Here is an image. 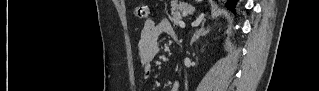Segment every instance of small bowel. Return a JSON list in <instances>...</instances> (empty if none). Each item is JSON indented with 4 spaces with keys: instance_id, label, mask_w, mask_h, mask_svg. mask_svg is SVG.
<instances>
[{
    "instance_id": "small-bowel-1",
    "label": "small bowel",
    "mask_w": 319,
    "mask_h": 91,
    "mask_svg": "<svg viewBox=\"0 0 319 91\" xmlns=\"http://www.w3.org/2000/svg\"><path fill=\"white\" fill-rule=\"evenodd\" d=\"M173 36L175 34L171 22L167 18L159 20H147L141 30L138 41V56L143 67V76L145 79L151 75V65L159 53L158 38L161 34ZM180 83L174 82L171 91H179Z\"/></svg>"
}]
</instances>
